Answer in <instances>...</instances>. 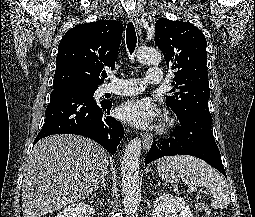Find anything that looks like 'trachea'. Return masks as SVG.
<instances>
[{"mask_svg": "<svg viewBox=\"0 0 255 217\" xmlns=\"http://www.w3.org/2000/svg\"><path fill=\"white\" fill-rule=\"evenodd\" d=\"M136 42H137V37H136L134 24L133 22H129L126 29V43H127V47L130 54L134 52L136 47ZM104 77L106 78L107 75H105Z\"/></svg>", "mask_w": 255, "mask_h": 217, "instance_id": "obj_1", "label": "trachea"}]
</instances>
